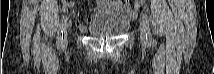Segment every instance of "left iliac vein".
Listing matches in <instances>:
<instances>
[{"label": "left iliac vein", "instance_id": "obj_1", "mask_svg": "<svg viewBox=\"0 0 214 74\" xmlns=\"http://www.w3.org/2000/svg\"><path fill=\"white\" fill-rule=\"evenodd\" d=\"M148 31H149V28L147 24L145 23L144 19L141 18L140 19V38L143 44H147L148 42V39H149Z\"/></svg>", "mask_w": 214, "mask_h": 74}]
</instances>
